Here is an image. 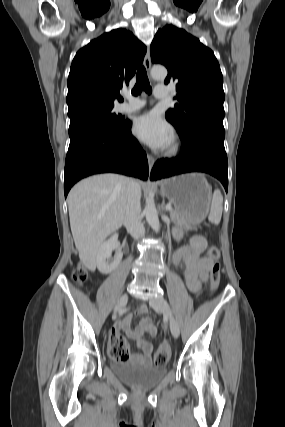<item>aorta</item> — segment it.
I'll list each match as a JSON object with an SVG mask.
<instances>
[{
  "instance_id": "762f6f07",
  "label": "aorta",
  "mask_w": 285,
  "mask_h": 427,
  "mask_svg": "<svg viewBox=\"0 0 285 427\" xmlns=\"http://www.w3.org/2000/svg\"><path fill=\"white\" fill-rule=\"evenodd\" d=\"M167 76V69L164 66L156 65L151 69V77L154 80H164ZM144 214L148 224L151 228L158 232L160 230V223L158 218L157 209L154 203V199L148 197L146 200V206L144 209Z\"/></svg>"
}]
</instances>
